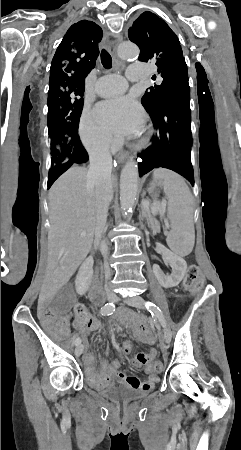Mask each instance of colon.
<instances>
[{
  "instance_id": "5ec220e1",
  "label": "colon",
  "mask_w": 241,
  "mask_h": 450,
  "mask_svg": "<svg viewBox=\"0 0 241 450\" xmlns=\"http://www.w3.org/2000/svg\"><path fill=\"white\" fill-rule=\"evenodd\" d=\"M200 279V270L196 264H191L186 271L183 287L185 290L193 291L195 294H200L202 292L203 283ZM85 302L82 300L77 301L76 307L73 308L72 313L75 316L83 315L85 313L84 307ZM156 371L162 370L161 362H156Z\"/></svg>"
}]
</instances>
